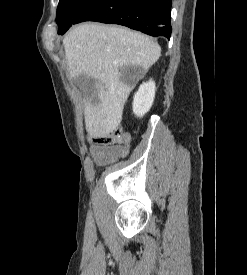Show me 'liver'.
I'll use <instances>...</instances> for the list:
<instances>
[{"label":"liver","mask_w":247,"mask_h":275,"mask_svg":"<svg viewBox=\"0 0 247 275\" xmlns=\"http://www.w3.org/2000/svg\"><path fill=\"white\" fill-rule=\"evenodd\" d=\"M71 78L81 74L97 81L96 94L84 102L85 127L92 138H102L121 123L133 85L122 79L125 67L145 73L160 57L161 48L150 37L119 26L81 24L63 39Z\"/></svg>","instance_id":"1"}]
</instances>
